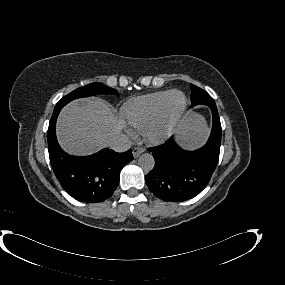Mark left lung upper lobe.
Returning a JSON list of instances; mask_svg holds the SVG:
<instances>
[{
    "label": "left lung upper lobe",
    "instance_id": "5c2ea615",
    "mask_svg": "<svg viewBox=\"0 0 285 285\" xmlns=\"http://www.w3.org/2000/svg\"><path fill=\"white\" fill-rule=\"evenodd\" d=\"M191 102L192 105L208 104L214 102L213 98L203 89L191 84Z\"/></svg>",
    "mask_w": 285,
    "mask_h": 285
}]
</instances>
